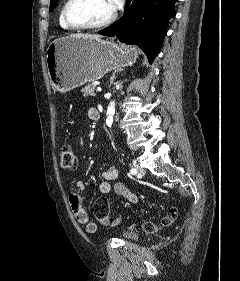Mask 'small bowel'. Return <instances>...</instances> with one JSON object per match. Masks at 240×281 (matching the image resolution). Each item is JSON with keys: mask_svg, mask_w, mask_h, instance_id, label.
<instances>
[{"mask_svg": "<svg viewBox=\"0 0 240 281\" xmlns=\"http://www.w3.org/2000/svg\"><path fill=\"white\" fill-rule=\"evenodd\" d=\"M97 110L91 108L88 111V117L96 120ZM117 179V171L114 167H107L101 172V180L97 185V189L101 194H108L112 190L111 182ZM74 191L69 195V204L76 221L85 225L87 232L96 233L98 231V225L95 222L90 221L89 215L83 206L84 200V184L82 181L77 180L74 182ZM113 191L127 199L130 203L135 204L138 202L136 194L131 192L123 183L117 182L113 186Z\"/></svg>", "mask_w": 240, "mask_h": 281, "instance_id": "obj_1", "label": "small bowel"}]
</instances>
